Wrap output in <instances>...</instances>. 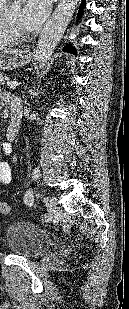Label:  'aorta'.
Masks as SVG:
<instances>
[{
  "label": "aorta",
  "mask_w": 129,
  "mask_h": 309,
  "mask_svg": "<svg viewBox=\"0 0 129 309\" xmlns=\"http://www.w3.org/2000/svg\"><path fill=\"white\" fill-rule=\"evenodd\" d=\"M73 3L74 0H65L56 10L50 21L44 26L39 36L35 54L38 81L46 74L49 61L67 27Z\"/></svg>",
  "instance_id": "1"
}]
</instances>
